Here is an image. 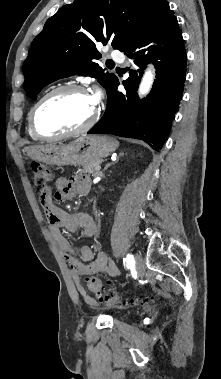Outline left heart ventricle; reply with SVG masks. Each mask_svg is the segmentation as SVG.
<instances>
[{"label": "left heart ventricle", "mask_w": 221, "mask_h": 379, "mask_svg": "<svg viewBox=\"0 0 221 379\" xmlns=\"http://www.w3.org/2000/svg\"><path fill=\"white\" fill-rule=\"evenodd\" d=\"M95 104L89 94L70 91L49 99L39 110L37 127L46 135L73 130L93 114Z\"/></svg>", "instance_id": "obj_1"}]
</instances>
